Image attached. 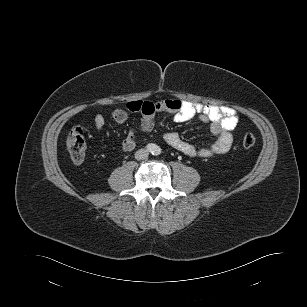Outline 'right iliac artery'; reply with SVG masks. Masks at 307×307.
<instances>
[{
	"instance_id": "obj_1",
	"label": "right iliac artery",
	"mask_w": 307,
	"mask_h": 307,
	"mask_svg": "<svg viewBox=\"0 0 307 307\" xmlns=\"http://www.w3.org/2000/svg\"><path fill=\"white\" fill-rule=\"evenodd\" d=\"M147 149L150 150V151L153 150L154 149V145L153 144H148L147 145Z\"/></svg>"
}]
</instances>
